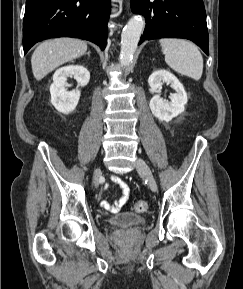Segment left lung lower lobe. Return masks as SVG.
Segmentation results:
<instances>
[{"label": "left lung lower lobe", "mask_w": 243, "mask_h": 289, "mask_svg": "<svg viewBox=\"0 0 243 289\" xmlns=\"http://www.w3.org/2000/svg\"><path fill=\"white\" fill-rule=\"evenodd\" d=\"M131 9L146 19L139 44L155 38H186L209 55L203 0H131Z\"/></svg>", "instance_id": "obj_1"}]
</instances>
